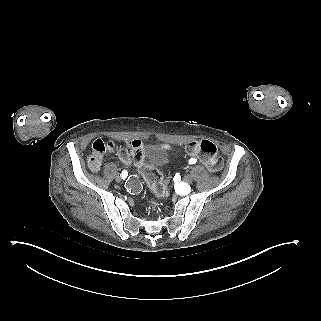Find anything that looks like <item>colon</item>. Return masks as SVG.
I'll use <instances>...</instances> for the list:
<instances>
[{"label":"colon","mask_w":321,"mask_h":321,"mask_svg":"<svg viewBox=\"0 0 321 321\" xmlns=\"http://www.w3.org/2000/svg\"><path fill=\"white\" fill-rule=\"evenodd\" d=\"M142 148V143L134 140L129 142L126 145V149L120 151L119 154L121 159L126 163L130 161V156H132L148 185L158 195H165L168 189L167 181L164 180L156 168L149 167L142 161ZM115 149H117V146L113 141H103L100 139L94 141L87 158L88 166L92 170H97L101 164L104 153L108 150ZM186 152L190 156L195 157V159H199L211 172H217L223 166V160L218 153L216 145L209 140H192L187 144Z\"/></svg>","instance_id":"1"}]
</instances>
